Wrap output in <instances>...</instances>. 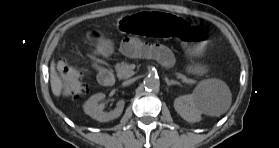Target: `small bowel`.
Listing matches in <instances>:
<instances>
[{"instance_id":"c3829d8e","label":"small bowel","mask_w":279,"mask_h":148,"mask_svg":"<svg viewBox=\"0 0 279 148\" xmlns=\"http://www.w3.org/2000/svg\"><path fill=\"white\" fill-rule=\"evenodd\" d=\"M121 51L130 58H154L164 66H170L173 63V56L166 47L133 36L123 39ZM193 70L200 72L202 68L195 67Z\"/></svg>"}]
</instances>
